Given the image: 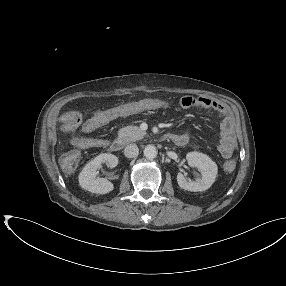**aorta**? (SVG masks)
Here are the masks:
<instances>
[{
	"mask_svg": "<svg viewBox=\"0 0 286 286\" xmlns=\"http://www.w3.org/2000/svg\"><path fill=\"white\" fill-rule=\"evenodd\" d=\"M157 149L154 145H147L145 148H144V156L147 158V159H154L156 158L157 156Z\"/></svg>",
	"mask_w": 286,
	"mask_h": 286,
	"instance_id": "762f6f07",
	"label": "aorta"
}]
</instances>
